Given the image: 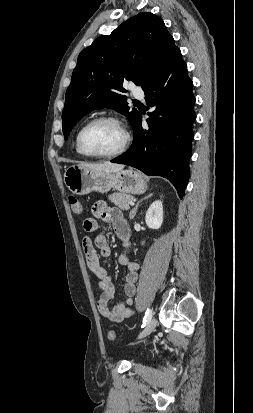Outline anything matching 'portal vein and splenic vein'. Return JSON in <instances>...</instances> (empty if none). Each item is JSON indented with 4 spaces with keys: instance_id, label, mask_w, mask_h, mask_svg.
<instances>
[{
    "instance_id": "1",
    "label": "portal vein and splenic vein",
    "mask_w": 253,
    "mask_h": 413,
    "mask_svg": "<svg viewBox=\"0 0 253 413\" xmlns=\"http://www.w3.org/2000/svg\"><path fill=\"white\" fill-rule=\"evenodd\" d=\"M130 204H131V205H133V204H134V202H130Z\"/></svg>"
}]
</instances>
